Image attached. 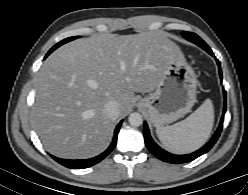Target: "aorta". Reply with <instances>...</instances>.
<instances>
[{
	"instance_id": "obj_1",
	"label": "aorta",
	"mask_w": 248,
	"mask_h": 195,
	"mask_svg": "<svg viewBox=\"0 0 248 195\" xmlns=\"http://www.w3.org/2000/svg\"><path fill=\"white\" fill-rule=\"evenodd\" d=\"M128 121L131 126L138 127L143 123L142 115L138 112L131 113Z\"/></svg>"
}]
</instances>
